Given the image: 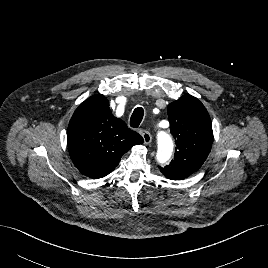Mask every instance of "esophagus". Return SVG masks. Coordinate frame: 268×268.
Returning <instances> with one entry per match:
<instances>
[{
  "instance_id": "esophagus-1",
  "label": "esophagus",
  "mask_w": 268,
  "mask_h": 268,
  "mask_svg": "<svg viewBox=\"0 0 268 268\" xmlns=\"http://www.w3.org/2000/svg\"><path fill=\"white\" fill-rule=\"evenodd\" d=\"M142 137L145 144H149L152 140L151 134L146 130L142 131Z\"/></svg>"
}]
</instances>
